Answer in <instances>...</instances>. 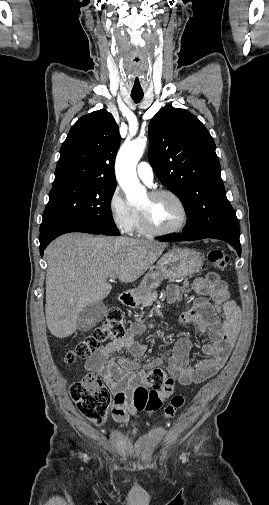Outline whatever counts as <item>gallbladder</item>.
Returning a JSON list of instances; mask_svg holds the SVG:
<instances>
[{
  "instance_id": "gallbladder-1",
  "label": "gallbladder",
  "mask_w": 269,
  "mask_h": 505,
  "mask_svg": "<svg viewBox=\"0 0 269 505\" xmlns=\"http://www.w3.org/2000/svg\"><path fill=\"white\" fill-rule=\"evenodd\" d=\"M107 314V306L102 301L88 304L79 314L78 330L89 331L96 323L100 322Z\"/></svg>"
}]
</instances>
